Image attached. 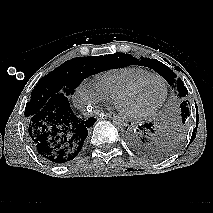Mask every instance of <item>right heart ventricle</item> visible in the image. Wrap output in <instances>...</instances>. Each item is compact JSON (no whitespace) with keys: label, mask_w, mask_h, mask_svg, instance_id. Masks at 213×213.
Here are the masks:
<instances>
[{"label":"right heart ventricle","mask_w":213,"mask_h":213,"mask_svg":"<svg viewBox=\"0 0 213 213\" xmlns=\"http://www.w3.org/2000/svg\"><path fill=\"white\" fill-rule=\"evenodd\" d=\"M149 73L151 71L138 66L110 69L96 76L95 85L108 99H114L131 82Z\"/></svg>","instance_id":"e07e8e85"}]
</instances>
